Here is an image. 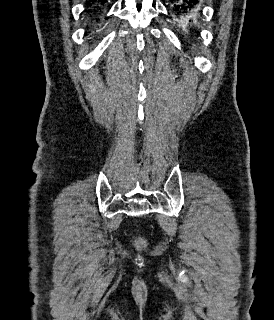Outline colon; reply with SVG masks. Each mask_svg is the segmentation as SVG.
Masks as SVG:
<instances>
[{
	"label": "colon",
	"instance_id": "colon-1",
	"mask_svg": "<svg viewBox=\"0 0 274 320\" xmlns=\"http://www.w3.org/2000/svg\"><path fill=\"white\" fill-rule=\"evenodd\" d=\"M144 244H145V242H144V240H142V239H139V240L137 241V247H139V248H142V247L144 246Z\"/></svg>",
	"mask_w": 274,
	"mask_h": 320
}]
</instances>
